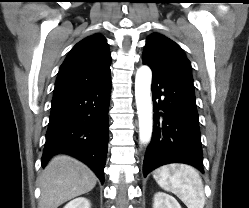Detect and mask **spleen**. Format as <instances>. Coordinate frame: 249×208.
Returning a JSON list of instances; mask_svg holds the SVG:
<instances>
[{
    "label": "spleen",
    "mask_w": 249,
    "mask_h": 208,
    "mask_svg": "<svg viewBox=\"0 0 249 208\" xmlns=\"http://www.w3.org/2000/svg\"><path fill=\"white\" fill-rule=\"evenodd\" d=\"M158 185L177 195L188 208H203L205 195L199 173L190 165H164L153 172Z\"/></svg>",
    "instance_id": "3e777b00"
}]
</instances>
